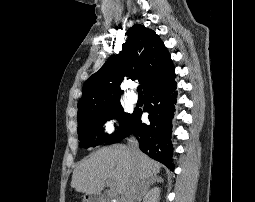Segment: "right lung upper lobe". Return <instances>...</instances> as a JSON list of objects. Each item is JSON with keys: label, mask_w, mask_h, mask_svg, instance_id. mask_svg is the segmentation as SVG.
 <instances>
[{"label": "right lung upper lobe", "mask_w": 255, "mask_h": 202, "mask_svg": "<svg viewBox=\"0 0 255 202\" xmlns=\"http://www.w3.org/2000/svg\"><path fill=\"white\" fill-rule=\"evenodd\" d=\"M126 35L118 55L106 63L84 83L78 102L77 117L96 109L120 103V83L124 76L139 79L143 93L158 88L175 78V70L164 43L153 31L136 24Z\"/></svg>", "instance_id": "cb5924a9"}]
</instances>
